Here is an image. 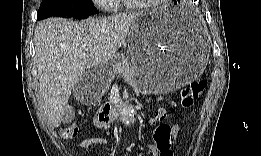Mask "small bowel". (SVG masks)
I'll return each instance as SVG.
<instances>
[{
    "label": "small bowel",
    "mask_w": 261,
    "mask_h": 156,
    "mask_svg": "<svg viewBox=\"0 0 261 156\" xmlns=\"http://www.w3.org/2000/svg\"><path fill=\"white\" fill-rule=\"evenodd\" d=\"M180 131H181V125L180 124H174L170 127V133H171L170 146L176 145ZM153 138H154V136H153ZM106 142L107 141L104 138L90 137V138L84 139L80 143V147L82 149H88V148L95 146V145H104V144H106ZM146 152H147V154H149L151 156H170V155H164L162 153V151L159 149V147L157 146L156 142H155V144L148 145L147 148H146Z\"/></svg>",
    "instance_id": "c3829d8e"
}]
</instances>
